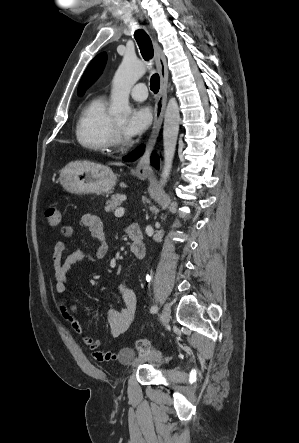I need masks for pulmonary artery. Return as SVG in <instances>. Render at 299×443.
<instances>
[{"label":"pulmonary artery","mask_w":299,"mask_h":443,"mask_svg":"<svg viewBox=\"0 0 299 443\" xmlns=\"http://www.w3.org/2000/svg\"><path fill=\"white\" fill-rule=\"evenodd\" d=\"M131 97L136 101H144L147 98L148 91L144 83H138L130 91Z\"/></svg>","instance_id":"1"}]
</instances>
